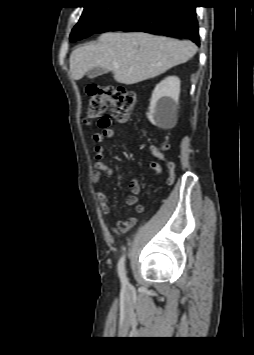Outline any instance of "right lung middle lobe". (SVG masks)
Listing matches in <instances>:
<instances>
[{"mask_svg": "<svg viewBox=\"0 0 254 355\" xmlns=\"http://www.w3.org/2000/svg\"><path fill=\"white\" fill-rule=\"evenodd\" d=\"M122 3L114 0H100L90 2L84 7L82 16L72 30L70 41L86 38L105 22Z\"/></svg>", "mask_w": 254, "mask_h": 355, "instance_id": "obj_1", "label": "right lung middle lobe"}]
</instances>
